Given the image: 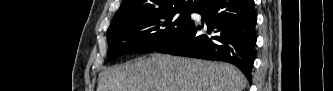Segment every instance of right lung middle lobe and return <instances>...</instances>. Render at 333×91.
<instances>
[{"label": "right lung middle lobe", "instance_id": "right-lung-middle-lobe-1", "mask_svg": "<svg viewBox=\"0 0 333 91\" xmlns=\"http://www.w3.org/2000/svg\"><path fill=\"white\" fill-rule=\"evenodd\" d=\"M192 12L166 11L112 23L107 31L108 58L115 60L125 54L154 51L190 22Z\"/></svg>", "mask_w": 333, "mask_h": 91}]
</instances>
